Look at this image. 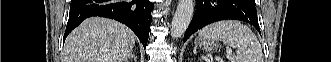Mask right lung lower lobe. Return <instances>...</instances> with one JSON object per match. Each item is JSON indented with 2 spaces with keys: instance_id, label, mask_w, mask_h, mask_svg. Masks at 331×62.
<instances>
[{
  "instance_id": "obj_1",
  "label": "right lung lower lobe",
  "mask_w": 331,
  "mask_h": 62,
  "mask_svg": "<svg viewBox=\"0 0 331 62\" xmlns=\"http://www.w3.org/2000/svg\"><path fill=\"white\" fill-rule=\"evenodd\" d=\"M153 8L154 5L149 0H72L64 39L84 19L100 16L115 19L127 25L145 48Z\"/></svg>"
}]
</instances>
